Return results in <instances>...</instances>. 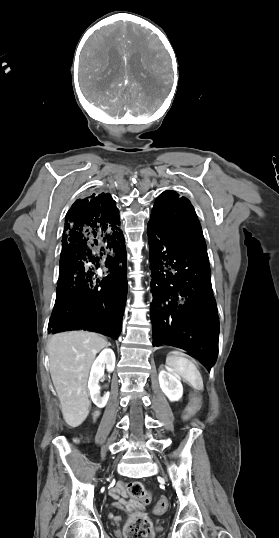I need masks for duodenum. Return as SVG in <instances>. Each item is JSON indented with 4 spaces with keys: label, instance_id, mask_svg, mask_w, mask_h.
Masks as SVG:
<instances>
[{
    "label": "duodenum",
    "instance_id": "410a0bca",
    "mask_svg": "<svg viewBox=\"0 0 279 538\" xmlns=\"http://www.w3.org/2000/svg\"><path fill=\"white\" fill-rule=\"evenodd\" d=\"M101 411H98V414H96V417H100ZM93 423H99V418H93Z\"/></svg>",
    "mask_w": 279,
    "mask_h": 538
}]
</instances>
